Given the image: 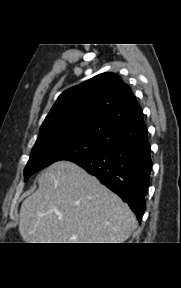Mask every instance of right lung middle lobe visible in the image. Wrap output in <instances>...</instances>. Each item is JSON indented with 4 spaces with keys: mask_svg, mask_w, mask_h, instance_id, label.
<instances>
[{
    "mask_svg": "<svg viewBox=\"0 0 181 288\" xmlns=\"http://www.w3.org/2000/svg\"><path fill=\"white\" fill-rule=\"evenodd\" d=\"M107 148L102 144L80 136L49 138L36 141L30 159L24 169L25 181L35 171L59 160L95 155Z\"/></svg>",
    "mask_w": 181,
    "mask_h": 288,
    "instance_id": "1",
    "label": "right lung middle lobe"
}]
</instances>
